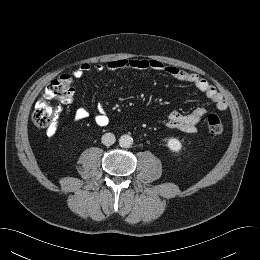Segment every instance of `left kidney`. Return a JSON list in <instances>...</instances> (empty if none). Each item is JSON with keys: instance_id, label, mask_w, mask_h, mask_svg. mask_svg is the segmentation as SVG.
<instances>
[{"instance_id": "left-kidney-1", "label": "left kidney", "mask_w": 260, "mask_h": 260, "mask_svg": "<svg viewBox=\"0 0 260 260\" xmlns=\"http://www.w3.org/2000/svg\"><path fill=\"white\" fill-rule=\"evenodd\" d=\"M167 146L171 151L175 153H179L182 149V143L176 138L168 139Z\"/></svg>"}]
</instances>
